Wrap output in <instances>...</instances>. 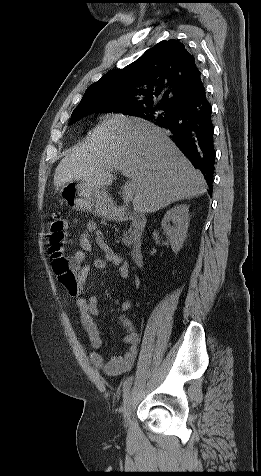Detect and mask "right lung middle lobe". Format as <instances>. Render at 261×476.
Wrapping results in <instances>:
<instances>
[{"label":"right lung middle lobe","instance_id":"1","mask_svg":"<svg viewBox=\"0 0 261 476\" xmlns=\"http://www.w3.org/2000/svg\"><path fill=\"white\" fill-rule=\"evenodd\" d=\"M173 111V108H169L163 105H157L155 108L152 105L141 106L135 109H128L125 106L120 105H107V104H90L80 106L74 109L71 115V124L78 119L91 114L93 112H117L124 113L126 115L141 117L146 120H161L164 117H168Z\"/></svg>","mask_w":261,"mask_h":476}]
</instances>
